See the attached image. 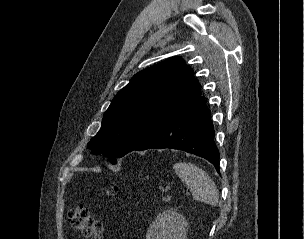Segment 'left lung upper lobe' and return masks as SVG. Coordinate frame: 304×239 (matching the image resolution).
I'll return each mask as SVG.
<instances>
[{
	"label": "left lung upper lobe",
	"instance_id": "obj_1",
	"mask_svg": "<svg viewBox=\"0 0 304 239\" xmlns=\"http://www.w3.org/2000/svg\"><path fill=\"white\" fill-rule=\"evenodd\" d=\"M200 95L193 70L180 57L142 70L113 98L87 147L115 164Z\"/></svg>",
	"mask_w": 304,
	"mask_h": 239
}]
</instances>
